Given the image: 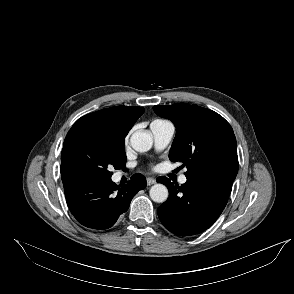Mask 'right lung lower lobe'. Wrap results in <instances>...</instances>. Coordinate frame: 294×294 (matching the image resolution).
Listing matches in <instances>:
<instances>
[{
	"label": "right lung lower lobe",
	"instance_id": "1",
	"mask_svg": "<svg viewBox=\"0 0 294 294\" xmlns=\"http://www.w3.org/2000/svg\"><path fill=\"white\" fill-rule=\"evenodd\" d=\"M146 187L141 174L131 177L128 184L116 186L111 179L82 186L65 188L67 205L82 225L103 230L115 224L126 212L134 195Z\"/></svg>",
	"mask_w": 294,
	"mask_h": 294
}]
</instances>
